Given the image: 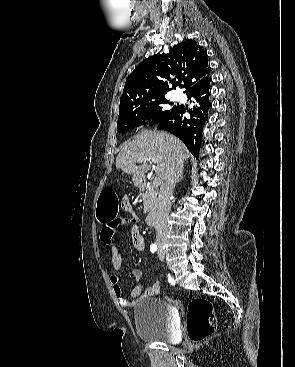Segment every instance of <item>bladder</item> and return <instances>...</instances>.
Returning a JSON list of instances; mask_svg holds the SVG:
<instances>
[{
	"label": "bladder",
	"mask_w": 295,
	"mask_h": 367,
	"mask_svg": "<svg viewBox=\"0 0 295 367\" xmlns=\"http://www.w3.org/2000/svg\"><path fill=\"white\" fill-rule=\"evenodd\" d=\"M138 336L146 341L173 343L177 338L176 310L159 298H144L134 310Z\"/></svg>",
	"instance_id": "31cf9c89"
}]
</instances>
